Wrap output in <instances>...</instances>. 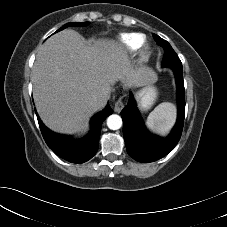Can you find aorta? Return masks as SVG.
Returning <instances> with one entry per match:
<instances>
[{
    "label": "aorta",
    "mask_w": 227,
    "mask_h": 227,
    "mask_svg": "<svg viewBox=\"0 0 227 227\" xmlns=\"http://www.w3.org/2000/svg\"><path fill=\"white\" fill-rule=\"evenodd\" d=\"M107 126L111 130H118L122 126V119L117 114H112L107 118Z\"/></svg>",
    "instance_id": "aorta-1"
}]
</instances>
